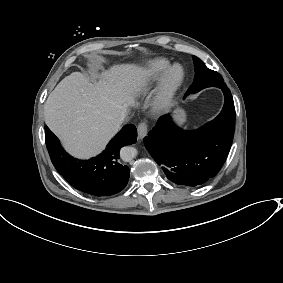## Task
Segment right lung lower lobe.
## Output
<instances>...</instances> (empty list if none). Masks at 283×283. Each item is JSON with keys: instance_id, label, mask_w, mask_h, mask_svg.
Segmentation results:
<instances>
[{"instance_id": "obj_1", "label": "right lung lower lobe", "mask_w": 283, "mask_h": 283, "mask_svg": "<svg viewBox=\"0 0 283 283\" xmlns=\"http://www.w3.org/2000/svg\"><path fill=\"white\" fill-rule=\"evenodd\" d=\"M136 139V127L125 125L102 154L90 160H78L65 152L58 138L45 126L46 146L58 173L74 188L94 196L113 195L126 187L130 172L128 166L119 163V153Z\"/></svg>"}]
</instances>
